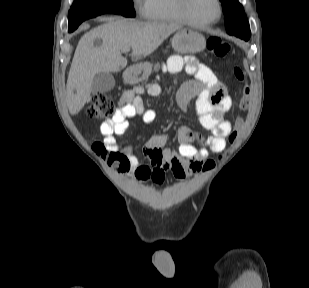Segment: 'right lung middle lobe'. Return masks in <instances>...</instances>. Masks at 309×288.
I'll return each mask as SVG.
<instances>
[{
  "label": "right lung middle lobe",
  "mask_w": 309,
  "mask_h": 288,
  "mask_svg": "<svg viewBox=\"0 0 309 288\" xmlns=\"http://www.w3.org/2000/svg\"><path fill=\"white\" fill-rule=\"evenodd\" d=\"M104 13L135 17L133 0H74L69 12V32L74 31L81 22Z\"/></svg>",
  "instance_id": "1"
}]
</instances>
